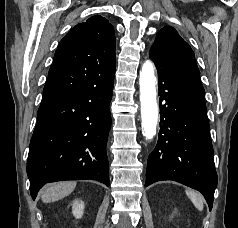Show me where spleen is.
I'll use <instances>...</instances> for the list:
<instances>
[{
  "mask_svg": "<svg viewBox=\"0 0 238 228\" xmlns=\"http://www.w3.org/2000/svg\"><path fill=\"white\" fill-rule=\"evenodd\" d=\"M186 195L188 196V198L192 201V203L194 204V206L199 210L202 211L204 208V198L203 196L193 190H186Z\"/></svg>",
  "mask_w": 238,
  "mask_h": 228,
  "instance_id": "spleen-1",
  "label": "spleen"
}]
</instances>
